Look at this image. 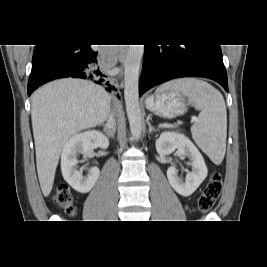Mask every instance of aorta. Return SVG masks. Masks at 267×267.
<instances>
[{"label": "aorta", "mask_w": 267, "mask_h": 267, "mask_svg": "<svg viewBox=\"0 0 267 267\" xmlns=\"http://www.w3.org/2000/svg\"><path fill=\"white\" fill-rule=\"evenodd\" d=\"M144 53V45H129L124 62V97L130 130L135 138L142 132V117L139 106V70Z\"/></svg>", "instance_id": "aorta-1"}]
</instances>
